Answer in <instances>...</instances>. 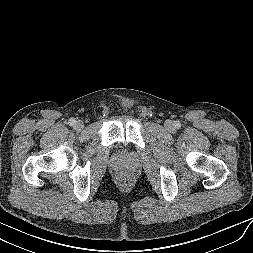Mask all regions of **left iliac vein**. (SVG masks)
I'll return each mask as SVG.
<instances>
[{
	"mask_svg": "<svg viewBox=\"0 0 253 253\" xmlns=\"http://www.w3.org/2000/svg\"><path fill=\"white\" fill-rule=\"evenodd\" d=\"M165 127H166V129H167L168 131H173V130H174V128H173V126H172V124H171L170 122H167V123L165 124Z\"/></svg>",
	"mask_w": 253,
	"mask_h": 253,
	"instance_id": "1",
	"label": "left iliac vein"
}]
</instances>
